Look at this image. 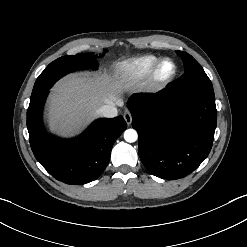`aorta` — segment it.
Returning <instances> with one entry per match:
<instances>
[{
  "label": "aorta",
  "mask_w": 247,
  "mask_h": 247,
  "mask_svg": "<svg viewBox=\"0 0 247 247\" xmlns=\"http://www.w3.org/2000/svg\"><path fill=\"white\" fill-rule=\"evenodd\" d=\"M138 138V134L136 132V130L134 129H127L124 132V139L125 141L129 142V143H133L137 140Z\"/></svg>",
  "instance_id": "1"
}]
</instances>
